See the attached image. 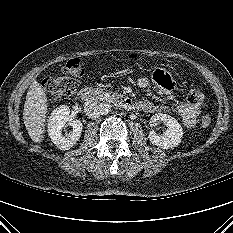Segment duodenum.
Instances as JSON below:
<instances>
[{
    "mask_svg": "<svg viewBox=\"0 0 233 233\" xmlns=\"http://www.w3.org/2000/svg\"><path fill=\"white\" fill-rule=\"evenodd\" d=\"M79 97L85 102H92L98 99H111L124 109H135L138 104L131 98L120 94H106L102 90L86 87L79 92Z\"/></svg>",
    "mask_w": 233,
    "mask_h": 233,
    "instance_id": "duodenum-1",
    "label": "duodenum"
}]
</instances>
